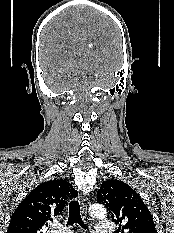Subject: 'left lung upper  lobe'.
<instances>
[{
	"mask_svg": "<svg viewBox=\"0 0 174 233\" xmlns=\"http://www.w3.org/2000/svg\"><path fill=\"white\" fill-rule=\"evenodd\" d=\"M97 202L104 204L112 221L120 225L116 233H157L150 211L128 184L119 180L103 182Z\"/></svg>",
	"mask_w": 174,
	"mask_h": 233,
	"instance_id": "obj_1",
	"label": "left lung upper lobe"
}]
</instances>
